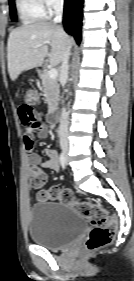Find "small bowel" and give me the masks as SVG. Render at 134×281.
Returning a JSON list of instances; mask_svg holds the SVG:
<instances>
[{
    "label": "small bowel",
    "instance_id": "small-bowel-1",
    "mask_svg": "<svg viewBox=\"0 0 134 281\" xmlns=\"http://www.w3.org/2000/svg\"><path fill=\"white\" fill-rule=\"evenodd\" d=\"M19 118L25 128L23 138L27 150V161L29 168H46L53 172L59 169V157L56 150L47 148L45 154L48 156L47 161H42L41 156L34 150V134L37 133L41 139L48 136V127L42 122L41 115L33 106L23 103L18 108Z\"/></svg>",
    "mask_w": 134,
    "mask_h": 281
}]
</instances>
